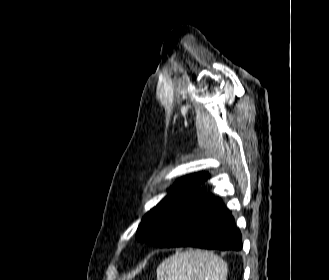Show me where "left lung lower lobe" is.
<instances>
[{"label": "left lung lower lobe", "mask_w": 329, "mask_h": 280, "mask_svg": "<svg viewBox=\"0 0 329 280\" xmlns=\"http://www.w3.org/2000/svg\"><path fill=\"white\" fill-rule=\"evenodd\" d=\"M161 234L169 236L165 247H199L241 250V233L230 211L212 194L196 196L171 208Z\"/></svg>", "instance_id": "0a47b994"}]
</instances>
